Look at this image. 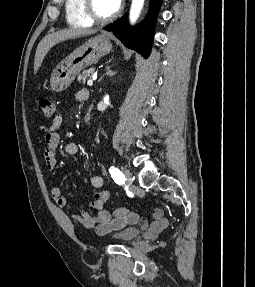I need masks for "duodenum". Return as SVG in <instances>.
Wrapping results in <instances>:
<instances>
[{
	"label": "duodenum",
	"instance_id": "obj_1",
	"mask_svg": "<svg viewBox=\"0 0 255 287\" xmlns=\"http://www.w3.org/2000/svg\"><path fill=\"white\" fill-rule=\"evenodd\" d=\"M84 98L85 97H87V94L86 93H84V96H83ZM90 117H91V112H90V110L87 112V114H86V122H88L89 120H90Z\"/></svg>",
	"mask_w": 255,
	"mask_h": 287
}]
</instances>
